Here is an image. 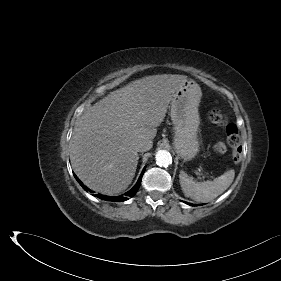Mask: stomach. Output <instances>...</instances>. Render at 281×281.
I'll list each match as a JSON object with an SVG mask.
<instances>
[{"label": "stomach", "instance_id": "0dacf381", "mask_svg": "<svg viewBox=\"0 0 281 281\" xmlns=\"http://www.w3.org/2000/svg\"><path fill=\"white\" fill-rule=\"evenodd\" d=\"M202 92L192 79L184 81L173 95L170 116L174 125V148L184 160L193 159L199 152L198 106Z\"/></svg>", "mask_w": 281, "mask_h": 281}]
</instances>
